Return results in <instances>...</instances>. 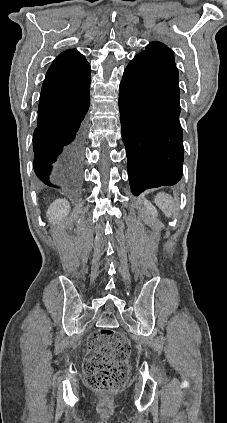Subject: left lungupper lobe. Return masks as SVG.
Instances as JSON below:
<instances>
[{
    "mask_svg": "<svg viewBox=\"0 0 227 423\" xmlns=\"http://www.w3.org/2000/svg\"><path fill=\"white\" fill-rule=\"evenodd\" d=\"M124 75L153 86L167 104V108L180 111L178 71L173 52L161 42H151L136 55Z\"/></svg>",
    "mask_w": 227,
    "mask_h": 423,
    "instance_id": "5c2ea615",
    "label": "left lung upper lobe"
}]
</instances>
